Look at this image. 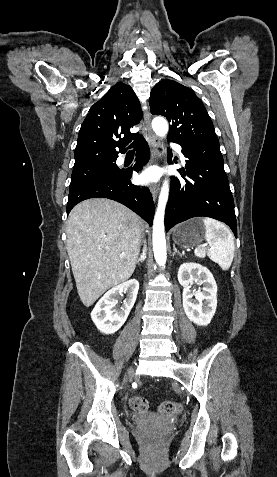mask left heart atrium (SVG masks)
<instances>
[{"instance_id": "1", "label": "left heart atrium", "mask_w": 277, "mask_h": 477, "mask_svg": "<svg viewBox=\"0 0 277 477\" xmlns=\"http://www.w3.org/2000/svg\"><path fill=\"white\" fill-rule=\"evenodd\" d=\"M158 178V173L153 169H148L140 175V181L142 183H148L156 180Z\"/></svg>"}]
</instances>
